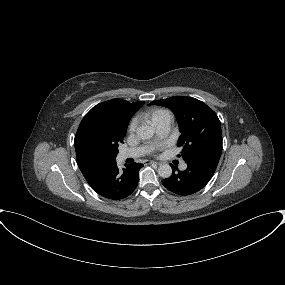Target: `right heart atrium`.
I'll use <instances>...</instances> for the list:
<instances>
[{
	"label": "right heart atrium",
	"mask_w": 285,
	"mask_h": 285,
	"mask_svg": "<svg viewBox=\"0 0 285 285\" xmlns=\"http://www.w3.org/2000/svg\"><path fill=\"white\" fill-rule=\"evenodd\" d=\"M137 126V120L135 118H132L128 124V132L133 133Z\"/></svg>",
	"instance_id": "right-heart-atrium-1"
}]
</instances>
